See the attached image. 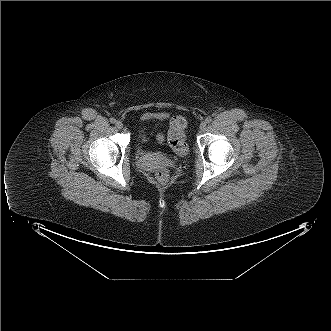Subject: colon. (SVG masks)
I'll return each instance as SVG.
<instances>
[{
    "mask_svg": "<svg viewBox=\"0 0 331 331\" xmlns=\"http://www.w3.org/2000/svg\"><path fill=\"white\" fill-rule=\"evenodd\" d=\"M186 120L181 116L173 117L170 121L167 140L170 147L178 154L186 151L185 139ZM155 179L160 184H167L170 179L169 172L166 169H158Z\"/></svg>",
    "mask_w": 331,
    "mask_h": 331,
    "instance_id": "1",
    "label": "colon"
}]
</instances>
